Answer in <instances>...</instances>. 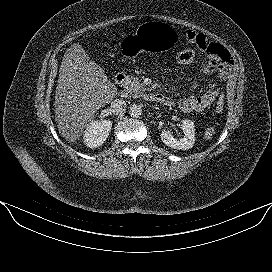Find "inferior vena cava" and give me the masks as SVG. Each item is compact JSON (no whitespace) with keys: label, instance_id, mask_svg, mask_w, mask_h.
I'll list each match as a JSON object with an SVG mask.
<instances>
[{"label":"inferior vena cava","instance_id":"602c4592","mask_svg":"<svg viewBox=\"0 0 272 272\" xmlns=\"http://www.w3.org/2000/svg\"><path fill=\"white\" fill-rule=\"evenodd\" d=\"M126 103L122 99H115L111 102V112L118 115L125 111Z\"/></svg>","mask_w":272,"mask_h":272}]
</instances>
